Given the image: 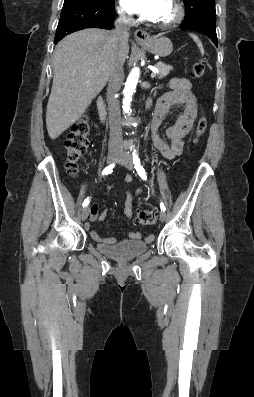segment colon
I'll return each mask as SVG.
<instances>
[{"mask_svg": "<svg viewBox=\"0 0 254 397\" xmlns=\"http://www.w3.org/2000/svg\"><path fill=\"white\" fill-rule=\"evenodd\" d=\"M204 63L202 59H197L192 68V74L195 78H200L204 74ZM207 128V119L204 115L198 120L193 144H198L200 138ZM91 124L88 117L83 116L77 120L70 128V131L65 140V148L67 152V172L71 176L78 173L79 162L85 154L89 146V133ZM158 220L157 213L154 210H139L134 215V221L138 225H153Z\"/></svg>", "mask_w": 254, "mask_h": 397, "instance_id": "1", "label": "colon"}]
</instances>
